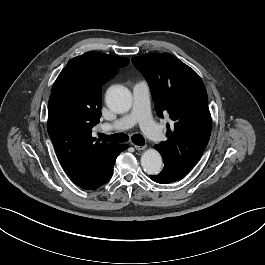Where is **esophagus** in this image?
Returning a JSON list of instances; mask_svg holds the SVG:
<instances>
[{
  "label": "esophagus",
  "instance_id": "1",
  "mask_svg": "<svg viewBox=\"0 0 265 265\" xmlns=\"http://www.w3.org/2000/svg\"><path fill=\"white\" fill-rule=\"evenodd\" d=\"M134 147L138 151H143L147 148V145H134Z\"/></svg>",
  "mask_w": 265,
  "mask_h": 265
}]
</instances>
